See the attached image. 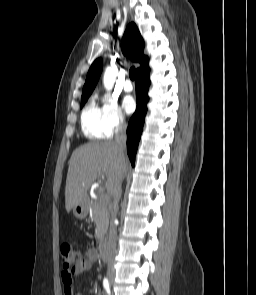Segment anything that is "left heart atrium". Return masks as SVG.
Masks as SVG:
<instances>
[{"label": "left heart atrium", "mask_w": 256, "mask_h": 295, "mask_svg": "<svg viewBox=\"0 0 256 295\" xmlns=\"http://www.w3.org/2000/svg\"><path fill=\"white\" fill-rule=\"evenodd\" d=\"M122 106L126 113L130 114L135 110L136 103L132 96H125L122 100Z\"/></svg>", "instance_id": "1"}]
</instances>
